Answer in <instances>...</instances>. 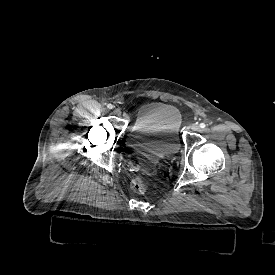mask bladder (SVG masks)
I'll use <instances>...</instances> for the list:
<instances>
[{"instance_id": "31cf9c89", "label": "bladder", "mask_w": 275, "mask_h": 275, "mask_svg": "<svg viewBox=\"0 0 275 275\" xmlns=\"http://www.w3.org/2000/svg\"><path fill=\"white\" fill-rule=\"evenodd\" d=\"M180 125V112L172 105L146 103L138 107L130 138L138 153L135 164L139 171L152 172L156 169L159 160L179 153Z\"/></svg>"}]
</instances>
